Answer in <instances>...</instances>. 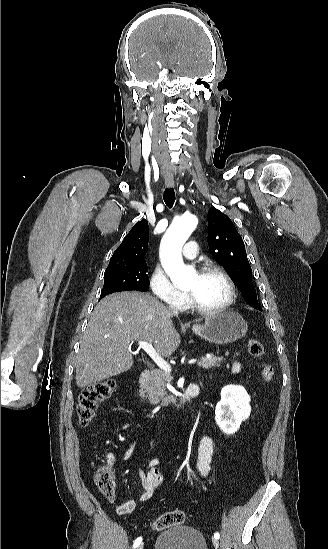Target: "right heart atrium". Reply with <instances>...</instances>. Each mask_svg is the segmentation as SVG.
Here are the masks:
<instances>
[{
  "mask_svg": "<svg viewBox=\"0 0 328 549\" xmlns=\"http://www.w3.org/2000/svg\"><path fill=\"white\" fill-rule=\"evenodd\" d=\"M148 285L155 303H180L185 295L171 281L163 266L155 261L150 267Z\"/></svg>",
  "mask_w": 328,
  "mask_h": 549,
  "instance_id": "d8ad5b80",
  "label": "right heart atrium"
}]
</instances>
